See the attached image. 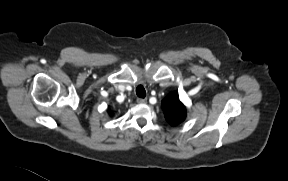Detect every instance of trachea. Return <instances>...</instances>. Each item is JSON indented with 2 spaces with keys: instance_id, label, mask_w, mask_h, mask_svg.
Listing matches in <instances>:
<instances>
[{
  "instance_id": "3493384b",
  "label": "trachea",
  "mask_w": 288,
  "mask_h": 181,
  "mask_svg": "<svg viewBox=\"0 0 288 181\" xmlns=\"http://www.w3.org/2000/svg\"><path fill=\"white\" fill-rule=\"evenodd\" d=\"M136 94L138 97L140 98H145L146 96V91L144 89V87L142 85H139L137 88H136Z\"/></svg>"
}]
</instances>
